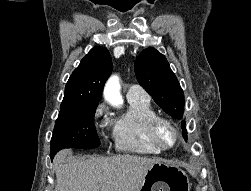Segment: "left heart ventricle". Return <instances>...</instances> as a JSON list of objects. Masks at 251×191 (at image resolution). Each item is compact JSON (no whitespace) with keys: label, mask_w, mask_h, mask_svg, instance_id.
<instances>
[{"label":"left heart ventricle","mask_w":251,"mask_h":191,"mask_svg":"<svg viewBox=\"0 0 251 191\" xmlns=\"http://www.w3.org/2000/svg\"><path fill=\"white\" fill-rule=\"evenodd\" d=\"M157 139L162 148L171 149L176 145L178 135L170 125L160 123L157 127Z\"/></svg>","instance_id":"obj_1"}]
</instances>
